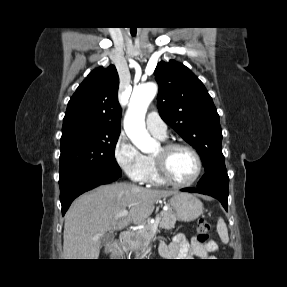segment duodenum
Here are the masks:
<instances>
[{"label": "duodenum", "instance_id": "1", "mask_svg": "<svg viewBox=\"0 0 287 287\" xmlns=\"http://www.w3.org/2000/svg\"><path fill=\"white\" fill-rule=\"evenodd\" d=\"M131 237H132V233L130 231H125L121 233L120 235L121 244L125 250H129Z\"/></svg>", "mask_w": 287, "mask_h": 287}]
</instances>
